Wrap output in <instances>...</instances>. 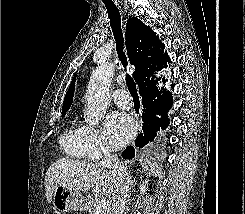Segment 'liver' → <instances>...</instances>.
Returning <instances> with one entry per match:
<instances>
[{
	"label": "liver",
	"instance_id": "6515ba94",
	"mask_svg": "<svg viewBox=\"0 0 245 214\" xmlns=\"http://www.w3.org/2000/svg\"><path fill=\"white\" fill-rule=\"evenodd\" d=\"M117 175L97 163H83L68 158L55 161L45 175L46 198L49 203L58 186L95 194L112 195Z\"/></svg>",
	"mask_w": 245,
	"mask_h": 214
}]
</instances>
